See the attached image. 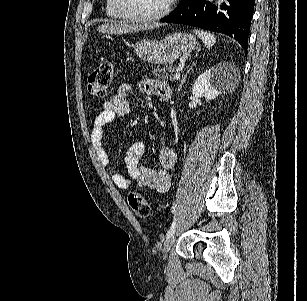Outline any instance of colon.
Returning <instances> with one entry per match:
<instances>
[{
    "label": "colon",
    "instance_id": "colon-1",
    "mask_svg": "<svg viewBox=\"0 0 307 301\" xmlns=\"http://www.w3.org/2000/svg\"><path fill=\"white\" fill-rule=\"evenodd\" d=\"M113 78V65L109 61L100 63L89 75L87 86L89 92L97 97H104ZM128 203L132 211L139 217L150 215V207L146 199L138 192L128 195Z\"/></svg>",
    "mask_w": 307,
    "mask_h": 301
}]
</instances>
